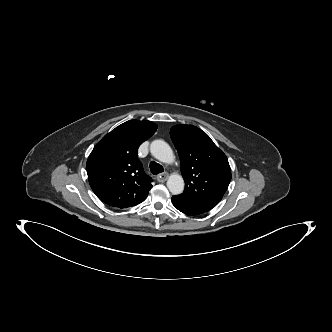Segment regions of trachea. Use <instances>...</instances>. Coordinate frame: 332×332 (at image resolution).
I'll use <instances>...</instances> for the list:
<instances>
[{"label":"trachea","instance_id":"3493384b","mask_svg":"<svg viewBox=\"0 0 332 332\" xmlns=\"http://www.w3.org/2000/svg\"><path fill=\"white\" fill-rule=\"evenodd\" d=\"M150 171L153 175H157L159 173H162L164 171L163 167L157 163L152 161L149 165Z\"/></svg>","mask_w":332,"mask_h":332}]
</instances>
